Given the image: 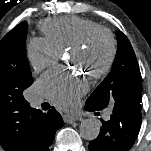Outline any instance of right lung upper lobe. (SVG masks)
Segmentation results:
<instances>
[{"mask_svg": "<svg viewBox=\"0 0 151 151\" xmlns=\"http://www.w3.org/2000/svg\"><path fill=\"white\" fill-rule=\"evenodd\" d=\"M41 134L40 110L25 99L0 97V143L5 151H36Z\"/></svg>", "mask_w": 151, "mask_h": 151, "instance_id": "right-lung-upper-lobe-1", "label": "right lung upper lobe"}]
</instances>
